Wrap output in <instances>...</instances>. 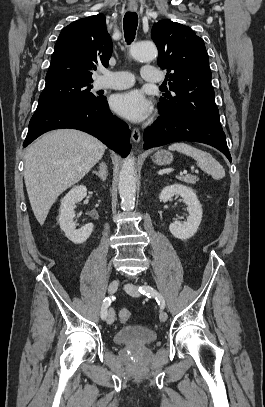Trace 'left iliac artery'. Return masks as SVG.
<instances>
[{
  "mask_svg": "<svg viewBox=\"0 0 265 407\" xmlns=\"http://www.w3.org/2000/svg\"><path fill=\"white\" fill-rule=\"evenodd\" d=\"M139 292L148 296L149 298L154 297L158 303V305L164 309L165 308V300L160 293H158L155 289L151 286H140Z\"/></svg>",
  "mask_w": 265,
  "mask_h": 407,
  "instance_id": "44dca946",
  "label": "left iliac artery"
}]
</instances>
